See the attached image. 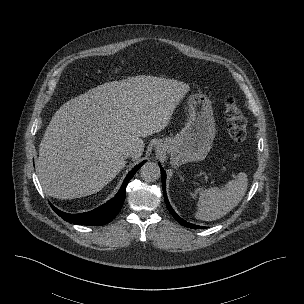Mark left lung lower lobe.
I'll return each instance as SVG.
<instances>
[{
    "label": "left lung lower lobe",
    "mask_w": 304,
    "mask_h": 304,
    "mask_svg": "<svg viewBox=\"0 0 304 304\" xmlns=\"http://www.w3.org/2000/svg\"><path fill=\"white\" fill-rule=\"evenodd\" d=\"M160 169H161V177H162V188H163V194H164V199H165V203H166V206L169 210V212L171 213V215H173V217L183 226L185 227H188V228H192V229H202L204 228L203 226H198V225H194V224H191V223H188L186 222L185 220H183L182 218H180L177 213L172 209L169 201H168V198H167V195H166V172L164 171V169L160 166Z\"/></svg>",
    "instance_id": "left-lung-lower-lobe-1"
}]
</instances>
